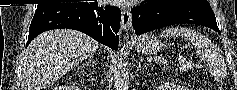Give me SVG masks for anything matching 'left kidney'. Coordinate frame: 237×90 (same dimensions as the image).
I'll return each mask as SVG.
<instances>
[{"label":"left kidney","mask_w":237,"mask_h":90,"mask_svg":"<svg viewBox=\"0 0 237 90\" xmlns=\"http://www.w3.org/2000/svg\"><path fill=\"white\" fill-rule=\"evenodd\" d=\"M158 90H181V86H175L174 82H165L160 84Z\"/></svg>","instance_id":"left-kidney-1"}]
</instances>
